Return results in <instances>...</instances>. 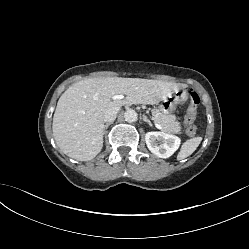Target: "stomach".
Listing matches in <instances>:
<instances>
[{"label": "stomach", "instance_id": "0dacf381", "mask_svg": "<svg viewBox=\"0 0 249 249\" xmlns=\"http://www.w3.org/2000/svg\"><path fill=\"white\" fill-rule=\"evenodd\" d=\"M179 101L180 99L176 94L171 95L162 101L159 105V110L163 114L170 115L176 110Z\"/></svg>", "mask_w": 249, "mask_h": 249}]
</instances>
